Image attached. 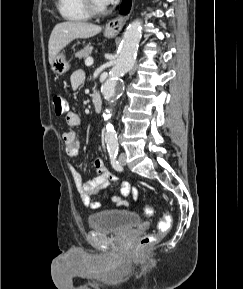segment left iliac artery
<instances>
[{
    "label": "left iliac artery",
    "mask_w": 243,
    "mask_h": 289,
    "mask_svg": "<svg viewBox=\"0 0 243 289\" xmlns=\"http://www.w3.org/2000/svg\"><path fill=\"white\" fill-rule=\"evenodd\" d=\"M118 154V151H110L109 152V156H110V161H111V165L114 169L116 170H122V167L120 166L119 162L116 159V156Z\"/></svg>",
    "instance_id": "44dca946"
}]
</instances>
